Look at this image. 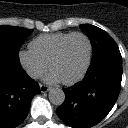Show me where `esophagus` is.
I'll return each instance as SVG.
<instances>
[{
  "label": "esophagus",
  "instance_id": "esophagus-1",
  "mask_svg": "<svg viewBox=\"0 0 128 128\" xmlns=\"http://www.w3.org/2000/svg\"><path fill=\"white\" fill-rule=\"evenodd\" d=\"M49 90H50V87H49V86L44 85V84H41V85H40V91H41L42 93H45V92H47V91H49Z\"/></svg>",
  "mask_w": 128,
  "mask_h": 128
}]
</instances>
